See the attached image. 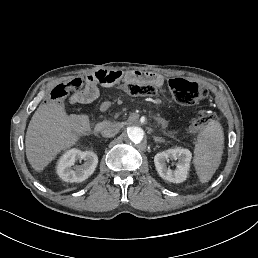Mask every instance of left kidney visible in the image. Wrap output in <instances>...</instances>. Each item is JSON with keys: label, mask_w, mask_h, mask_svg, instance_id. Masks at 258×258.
<instances>
[{"label": "left kidney", "mask_w": 258, "mask_h": 258, "mask_svg": "<svg viewBox=\"0 0 258 258\" xmlns=\"http://www.w3.org/2000/svg\"><path fill=\"white\" fill-rule=\"evenodd\" d=\"M169 157L178 159V164L175 170L167 168L165 163ZM192 153L189 149L177 147L159 152L154 157V164L158 174L165 180L173 183H183L187 180Z\"/></svg>", "instance_id": "obj_1"}]
</instances>
